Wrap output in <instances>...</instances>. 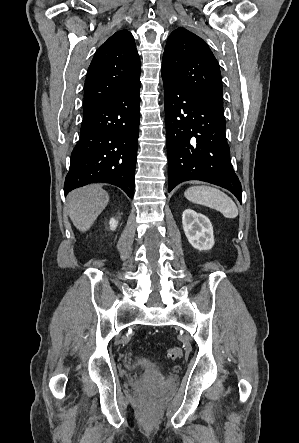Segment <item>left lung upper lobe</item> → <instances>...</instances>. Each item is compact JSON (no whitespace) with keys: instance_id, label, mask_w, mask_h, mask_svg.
<instances>
[{"instance_id":"obj_1","label":"left lung upper lobe","mask_w":299,"mask_h":443,"mask_svg":"<svg viewBox=\"0 0 299 443\" xmlns=\"http://www.w3.org/2000/svg\"><path fill=\"white\" fill-rule=\"evenodd\" d=\"M162 73L223 110L218 62L208 45L194 33L178 28L170 34L164 50Z\"/></svg>"}]
</instances>
